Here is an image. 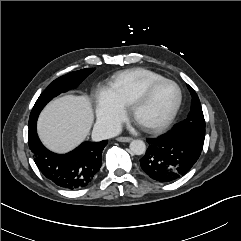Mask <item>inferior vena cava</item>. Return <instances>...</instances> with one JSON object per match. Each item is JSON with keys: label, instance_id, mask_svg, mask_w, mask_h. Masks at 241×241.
I'll return each instance as SVG.
<instances>
[{"label": "inferior vena cava", "instance_id": "inferior-vena-cava-1", "mask_svg": "<svg viewBox=\"0 0 241 241\" xmlns=\"http://www.w3.org/2000/svg\"><path fill=\"white\" fill-rule=\"evenodd\" d=\"M122 127L119 123L96 122L92 131V140L101 141L119 135Z\"/></svg>", "mask_w": 241, "mask_h": 241}]
</instances>
